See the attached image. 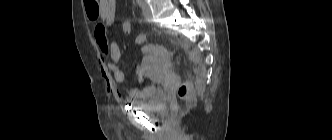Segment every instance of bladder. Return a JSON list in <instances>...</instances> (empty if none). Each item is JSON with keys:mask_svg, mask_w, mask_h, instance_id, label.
Returning a JSON list of instances; mask_svg holds the SVG:
<instances>
[{"mask_svg": "<svg viewBox=\"0 0 332 140\" xmlns=\"http://www.w3.org/2000/svg\"><path fill=\"white\" fill-rule=\"evenodd\" d=\"M147 89L149 92L146 95L131 100V104L143 110L158 109L165 101L164 93L156 85L147 86Z\"/></svg>", "mask_w": 332, "mask_h": 140, "instance_id": "bladder-1", "label": "bladder"}]
</instances>
